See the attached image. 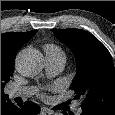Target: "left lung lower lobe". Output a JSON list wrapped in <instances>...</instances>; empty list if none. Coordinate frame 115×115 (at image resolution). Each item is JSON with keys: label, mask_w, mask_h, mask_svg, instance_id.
Instances as JSON below:
<instances>
[{"label": "left lung lower lobe", "mask_w": 115, "mask_h": 115, "mask_svg": "<svg viewBox=\"0 0 115 115\" xmlns=\"http://www.w3.org/2000/svg\"><path fill=\"white\" fill-rule=\"evenodd\" d=\"M65 115H68L66 112H63ZM70 115H73V113H69ZM81 115H94L92 113H89V112H85V111H82V114Z\"/></svg>", "instance_id": "left-lung-lower-lobe-1"}]
</instances>
